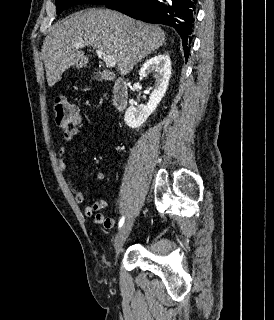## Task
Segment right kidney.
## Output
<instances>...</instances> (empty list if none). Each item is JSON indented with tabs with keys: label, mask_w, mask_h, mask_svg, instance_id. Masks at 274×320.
Returning a JSON list of instances; mask_svg holds the SVG:
<instances>
[{
	"label": "right kidney",
	"mask_w": 274,
	"mask_h": 320,
	"mask_svg": "<svg viewBox=\"0 0 274 320\" xmlns=\"http://www.w3.org/2000/svg\"><path fill=\"white\" fill-rule=\"evenodd\" d=\"M153 72L156 82L154 88H149L150 98L146 106H129L125 112L124 122L128 128H140L149 116L156 110L164 94L167 92L171 76V60L168 54H157L143 64L139 76L140 80L147 78Z\"/></svg>",
	"instance_id": "right-kidney-1"
}]
</instances>
